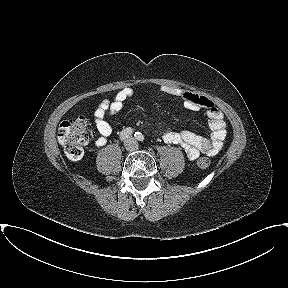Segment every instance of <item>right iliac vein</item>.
I'll return each instance as SVG.
<instances>
[{"mask_svg": "<svg viewBox=\"0 0 288 288\" xmlns=\"http://www.w3.org/2000/svg\"><path fill=\"white\" fill-rule=\"evenodd\" d=\"M126 147H127V149H130V148H131V144H130L129 141H127V143H126Z\"/></svg>", "mask_w": 288, "mask_h": 288, "instance_id": "63e3f726", "label": "right iliac vein"}]
</instances>
